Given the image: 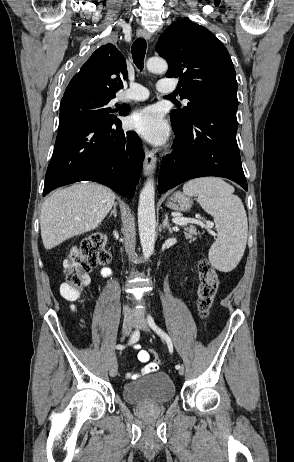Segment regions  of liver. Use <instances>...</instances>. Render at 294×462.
<instances>
[{"instance_id": "liver-1", "label": "liver", "mask_w": 294, "mask_h": 462, "mask_svg": "<svg viewBox=\"0 0 294 462\" xmlns=\"http://www.w3.org/2000/svg\"><path fill=\"white\" fill-rule=\"evenodd\" d=\"M116 195L99 184H78L54 192L43 203L41 237L52 249L76 235L94 230L114 205Z\"/></svg>"}]
</instances>
